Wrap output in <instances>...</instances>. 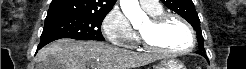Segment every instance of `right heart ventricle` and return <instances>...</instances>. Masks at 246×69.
Wrapping results in <instances>:
<instances>
[{"instance_id": "e07e8e85", "label": "right heart ventricle", "mask_w": 246, "mask_h": 69, "mask_svg": "<svg viewBox=\"0 0 246 69\" xmlns=\"http://www.w3.org/2000/svg\"><path fill=\"white\" fill-rule=\"evenodd\" d=\"M151 16H155V15H160L163 13V9L159 8L158 10L155 11H147Z\"/></svg>"}]
</instances>
